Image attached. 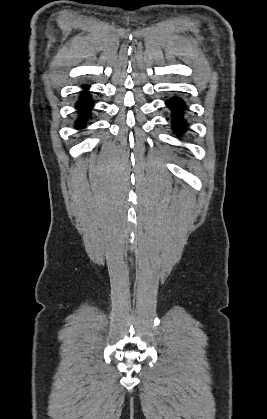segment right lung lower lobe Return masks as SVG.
<instances>
[{"mask_svg":"<svg viewBox=\"0 0 267 419\" xmlns=\"http://www.w3.org/2000/svg\"><path fill=\"white\" fill-rule=\"evenodd\" d=\"M84 88L89 89L88 86H84ZM93 103V100L89 97V92L83 91L75 105L78 114L75 121V128L82 129L86 127L87 121L91 117V109L93 108Z\"/></svg>","mask_w":267,"mask_h":419,"instance_id":"98d812e1","label":"right lung lower lobe"}]
</instances>
